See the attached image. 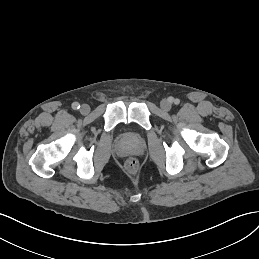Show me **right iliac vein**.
<instances>
[{
	"mask_svg": "<svg viewBox=\"0 0 259 259\" xmlns=\"http://www.w3.org/2000/svg\"><path fill=\"white\" fill-rule=\"evenodd\" d=\"M80 112L83 115H87L90 112V106L87 104H83L80 108Z\"/></svg>",
	"mask_w": 259,
	"mask_h": 259,
	"instance_id": "63e3f726",
	"label": "right iliac vein"
}]
</instances>
